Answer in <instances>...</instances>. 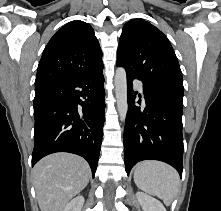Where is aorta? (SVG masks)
Wrapping results in <instances>:
<instances>
[{
  "instance_id": "1",
  "label": "aorta",
  "mask_w": 221,
  "mask_h": 211,
  "mask_svg": "<svg viewBox=\"0 0 221 211\" xmlns=\"http://www.w3.org/2000/svg\"><path fill=\"white\" fill-rule=\"evenodd\" d=\"M115 94L117 101V109L121 121H125L128 103H127V77L126 70L123 67H119L115 73Z\"/></svg>"
}]
</instances>
